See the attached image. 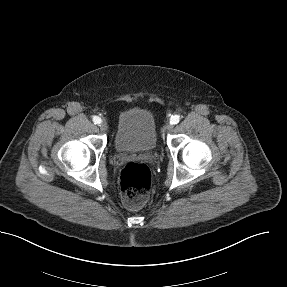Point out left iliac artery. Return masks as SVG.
<instances>
[{"mask_svg": "<svg viewBox=\"0 0 287 287\" xmlns=\"http://www.w3.org/2000/svg\"><path fill=\"white\" fill-rule=\"evenodd\" d=\"M179 121H180V116L179 115H172L171 116V119H170V123L171 124H177V123H179Z\"/></svg>", "mask_w": 287, "mask_h": 287, "instance_id": "44dca946", "label": "left iliac artery"}]
</instances>
